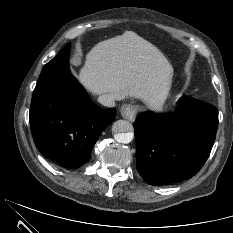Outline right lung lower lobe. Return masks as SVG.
I'll list each match as a JSON object with an SVG mask.
<instances>
[{
    "mask_svg": "<svg viewBox=\"0 0 233 233\" xmlns=\"http://www.w3.org/2000/svg\"><path fill=\"white\" fill-rule=\"evenodd\" d=\"M69 51L63 49L43 68L30 107V127L38 150L66 168L90 159L102 131L113 121L115 108L92 103L69 70Z\"/></svg>",
    "mask_w": 233,
    "mask_h": 233,
    "instance_id": "right-lung-lower-lobe-1",
    "label": "right lung lower lobe"
}]
</instances>
